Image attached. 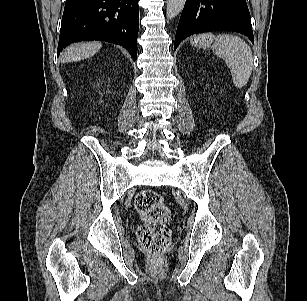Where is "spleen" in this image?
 Here are the masks:
<instances>
[{
	"instance_id": "1",
	"label": "spleen",
	"mask_w": 307,
	"mask_h": 301,
	"mask_svg": "<svg viewBox=\"0 0 307 301\" xmlns=\"http://www.w3.org/2000/svg\"><path fill=\"white\" fill-rule=\"evenodd\" d=\"M212 49L230 69L234 85L237 88L244 87L253 67V56L249 45L238 36L220 34L214 39Z\"/></svg>"
}]
</instances>
